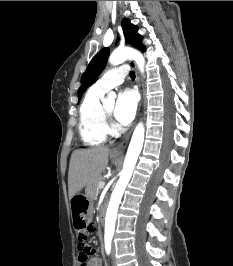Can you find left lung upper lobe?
<instances>
[{"instance_id":"obj_1","label":"left lung upper lobe","mask_w":233,"mask_h":266,"mask_svg":"<svg viewBox=\"0 0 233 266\" xmlns=\"http://www.w3.org/2000/svg\"><path fill=\"white\" fill-rule=\"evenodd\" d=\"M122 28L126 41L132 46L138 48L142 52L145 51V46L142 44L143 37L138 34V27L131 24L129 19L122 20ZM109 56V49L103 48L97 55L93 57L86 71L81 78V86L78 90V99H81L82 93L94 81L97 76L105 68Z\"/></svg>"}]
</instances>
